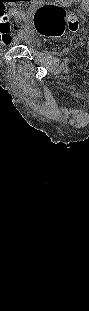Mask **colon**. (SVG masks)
I'll use <instances>...</instances> for the list:
<instances>
[{
    "label": "colon",
    "mask_w": 89,
    "mask_h": 311,
    "mask_svg": "<svg viewBox=\"0 0 89 311\" xmlns=\"http://www.w3.org/2000/svg\"><path fill=\"white\" fill-rule=\"evenodd\" d=\"M3 25L15 31L22 32L25 28L23 22H16L13 25L7 16H1ZM33 25L35 30L46 37H58L65 30L66 26L75 30L78 27L77 17L70 12H67L62 7L47 3L39 7L33 17Z\"/></svg>",
    "instance_id": "5ec220e1"
}]
</instances>
